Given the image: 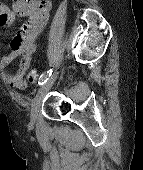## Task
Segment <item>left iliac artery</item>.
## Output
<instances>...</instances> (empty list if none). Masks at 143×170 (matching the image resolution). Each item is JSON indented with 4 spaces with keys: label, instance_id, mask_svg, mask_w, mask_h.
<instances>
[{
    "label": "left iliac artery",
    "instance_id": "44dca946",
    "mask_svg": "<svg viewBox=\"0 0 143 170\" xmlns=\"http://www.w3.org/2000/svg\"><path fill=\"white\" fill-rule=\"evenodd\" d=\"M52 69H49L48 71L44 72L41 76H40V79H39V82L38 84L39 85H42L43 83H45L49 77H51L52 75Z\"/></svg>",
    "mask_w": 143,
    "mask_h": 170
}]
</instances>
